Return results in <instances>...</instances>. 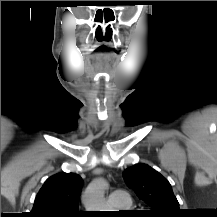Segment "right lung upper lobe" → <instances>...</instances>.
I'll list each match as a JSON object with an SVG mask.
<instances>
[{
  "instance_id": "right-lung-upper-lobe-1",
  "label": "right lung upper lobe",
  "mask_w": 217,
  "mask_h": 217,
  "mask_svg": "<svg viewBox=\"0 0 217 217\" xmlns=\"http://www.w3.org/2000/svg\"><path fill=\"white\" fill-rule=\"evenodd\" d=\"M82 179L75 173H58L48 178L36 196L29 217H79L78 198Z\"/></svg>"
}]
</instances>
